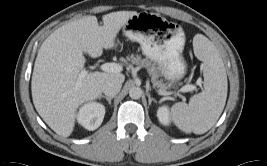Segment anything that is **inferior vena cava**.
I'll return each instance as SVG.
<instances>
[{"mask_svg":"<svg viewBox=\"0 0 267 166\" xmlns=\"http://www.w3.org/2000/svg\"><path fill=\"white\" fill-rule=\"evenodd\" d=\"M122 82L119 79H108L102 86V92L107 96H115L121 90Z\"/></svg>","mask_w":267,"mask_h":166,"instance_id":"602c4592","label":"inferior vena cava"}]
</instances>
